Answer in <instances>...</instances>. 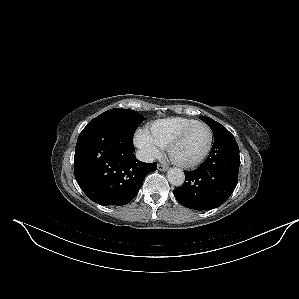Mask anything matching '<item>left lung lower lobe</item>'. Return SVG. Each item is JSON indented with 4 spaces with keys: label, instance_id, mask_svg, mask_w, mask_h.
<instances>
[{
    "label": "left lung lower lobe",
    "instance_id": "0a47b994",
    "mask_svg": "<svg viewBox=\"0 0 299 299\" xmlns=\"http://www.w3.org/2000/svg\"><path fill=\"white\" fill-rule=\"evenodd\" d=\"M239 147L234 136L224 130L214 135L211 153L200 167L185 172L184 184L174 196L184 207L210 210L230 197L238 182Z\"/></svg>",
    "mask_w": 299,
    "mask_h": 299
}]
</instances>
